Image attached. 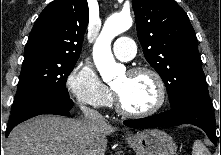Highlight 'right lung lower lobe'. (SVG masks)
Returning <instances> with one entry per match:
<instances>
[{
    "label": "right lung lower lobe",
    "instance_id": "right-lung-lower-lobe-1",
    "mask_svg": "<svg viewBox=\"0 0 221 155\" xmlns=\"http://www.w3.org/2000/svg\"><path fill=\"white\" fill-rule=\"evenodd\" d=\"M73 102L70 98L58 97L48 93H37L24 100L12 111L6 129V137L19 123L41 114L66 116L70 113Z\"/></svg>",
    "mask_w": 221,
    "mask_h": 155
}]
</instances>
